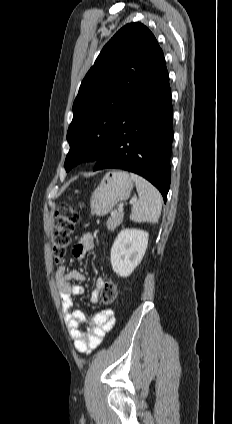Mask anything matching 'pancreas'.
I'll list each match as a JSON object with an SVG mask.
<instances>
[{
	"label": "pancreas",
	"instance_id": "1",
	"mask_svg": "<svg viewBox=\"0 0 232 424\" xmlns=\"http://www.w3.org/2000/svg\"><path fill=\"white\" fill-rule=\"evenodd\" d=\"M123 216V212H114V215H111V217L107 220V228L109 230H115L116 227H118L122 223Z\"/></svg>",
	"mask_w": 232,
	"mask_h": 424
}]
</instances>
